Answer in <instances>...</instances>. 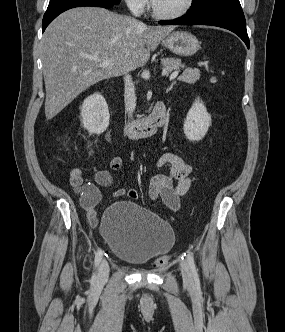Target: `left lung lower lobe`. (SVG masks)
Wrapping results in <instances>:
<instances>
[{"mask_svg":"<svg viewBox=\"0 0 285 332\" xmlns=\"http://www.w3.org/2000/svg\"><path fill=\"white\" fill-rule=\"evenodd\" d=\"M160 24H201L222 27L237 34L249 48L246 21L240 4L220 5L199 12L187 13L176 20L161 21Z\"/></svg>","mask_w":285,"mask_h":332,"instance_id":"obj_1","label":"left lung lower lobe"}]
</instances>
